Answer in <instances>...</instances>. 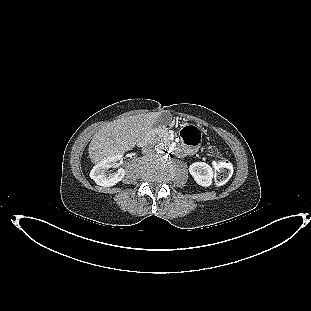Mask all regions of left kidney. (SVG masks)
I'll return each instance as SVG.
<instances>
[{
  "mask_svg": "<svg viewBox=\"0 0 311 311\" xmlns=\"http://www.w3.org/2000/svg\"><path fill=\"white\" fill-rule=\"evenodd\" d=\"M189 172L197 184L203 187L212 185L213 170L205 162H194L189 166Z\"/></svg>",
  "mask_w": 311,
  "mask_h": 311,
  "instance_id": "1",
  "label": "left kidney"
}]
</instances>
